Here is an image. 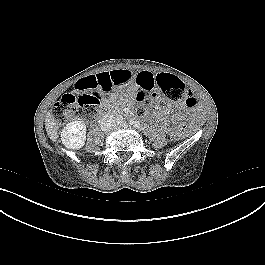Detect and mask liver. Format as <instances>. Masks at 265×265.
Segmentation results:
<instances>
[{"mask_svg": "<svg viewBox=\"0 0 265 265\" xmlns=\"http://www.w3.org/2000/svg\"><path fill=\"white\" fill-rule=\"evenodd\" d=\"M45 128L51 140L56 141L58 138V127L51 113H48L45 118Z\"/></svg>", "mask_w": 265, "mask_h": 265, "instance_id": "1", "label": "liver"}]
</instances>
